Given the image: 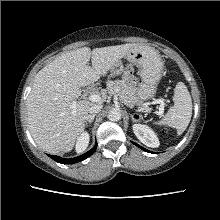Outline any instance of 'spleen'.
<instances>
[{"mask_svg":"<svg viewBox=\"0 0 220 220\" xmlns=\"http://www.w3.org/2000/svg\"><path fill=\"white\" fill-rule=\"evenodd\" d=\"M174 105L169 108L162 120L156 125H167L177 130L181 135L188 127L192 116L191 95L183 82H178L174 91Z\"/></svg>","mask_w":220,"mask_h":220,"instance_id":"3e777b00","label":"spleen"}]
</instances>
